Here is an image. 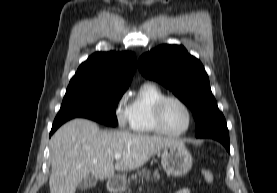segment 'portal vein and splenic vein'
Masks as SVG:
<instances>
[{"mask_svg": "<svg viewBox=\"0 0 277 193\" xmlns=\"http://www.w3.org/2000/svg\"><path fill=\"white\" fill-rule=\"evenodd\" d=\"M121 156H122L121 153H117V154H115V159L119 160V159H121Z\"/></svg>", "mask_w": 277, "mask_h": 193, "instance_id": "portal-vein-and-splenic-vein-1", "label": "portal vein and splenic vein"}]
</instances>
